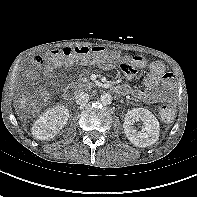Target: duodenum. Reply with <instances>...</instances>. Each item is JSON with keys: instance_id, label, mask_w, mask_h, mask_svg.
I'll return each mask as SVG.
<instances>
[{"instance_id": "duodenum-1", "label": "duodenum", "mask_w": 197, "mask_h": 197, "mask_svg": "<svg viewBox=\"0 0 197 197\" xmlns=\"http://www.w3.org/2000/svg\"><path fill=\"white\" fill-rule=\"evenodd\" d=\"M113 90L119 95H126L129 93V89L126 86H115L113 87ZM70 94L68 95L70 96Z\"/></svg>"}]
</instances>
